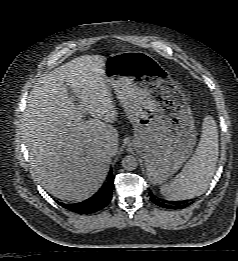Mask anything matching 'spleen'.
<instances>
[{
	"label": "spleen",
	"instance_id": "1",
	"mask_svg": "<svg viewBox=\"0 0 238 261\" xmlns=\"http://www.w3.org/2000/svg\"><path fill=\"white\" fill-rule=\"evenodd\" d=\"M218 129L213 117L206 116L194 155L168 184L160 187L168 200L192 199L203 194L214 175L218 159Z\"/></svg>",
	"mask_w": 238,
	"mask_h": 261
}]
</instances>
